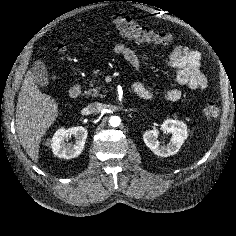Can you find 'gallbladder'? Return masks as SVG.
I'll return each mask as SVG.
<instances>
[{"label":"gallbladder","instance_id":"obj_1","mask_svg":"<svg viewBox=\"0 0 236 236\" xmlns=\"http://www.w3.org/2000/svg\"><path fill=\"white\" fill-rule=\"evenodd\" d=\"M32 73L36 79V82L41 87H46L49 83L48 71L46 65L41 61L37 60L32 68Z\"/></svg>","mask_w":236,"mask_h":236}]
</instances>
